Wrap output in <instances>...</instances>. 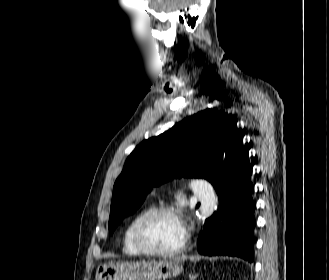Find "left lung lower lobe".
<instances>
[{
  "label": "left lung lower lobe",
  "mask_w": 329,
  "mask_h": 280,
  "mask_svg": "<svg viewBox=\"0 0 329 280\" xmlns=\"http://www.w3.org/2000/svg\"><path fill=\"white\" fill-rule=\"evenodd\" d=\"M252 167L248 152L242 150L239 169L217 188L223 192L218 213L205 221L198 237V252L203 255H228L241 257L249 262L254 259L255 203L251 182ZM220 189V192H219Z\"/></svg>",
  "instance_id": "obj_1"
}]
</instances>
